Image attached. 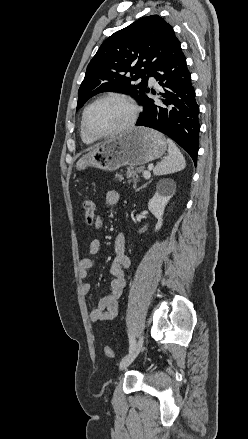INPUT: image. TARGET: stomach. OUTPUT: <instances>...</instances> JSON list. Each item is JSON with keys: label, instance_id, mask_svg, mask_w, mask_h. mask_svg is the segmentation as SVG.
Instances as JSON below:
<instances>
[{"label": "stomach", "instance_id": "1", "mask_svg": "<svg viewBox=\"0 0 248 439\" xmlns=\"http://www.w3.org/2000/svg\"><path fill=\"white\" fill-rule=\"evenodd\" d=\"M166 149L167 141L161 133L136 127L93 147L76 162V169L115 171L124 165L140 166L162 157Z\"/></svg>", "mask_w": 248, "mask_h": 439}]
</instances>
